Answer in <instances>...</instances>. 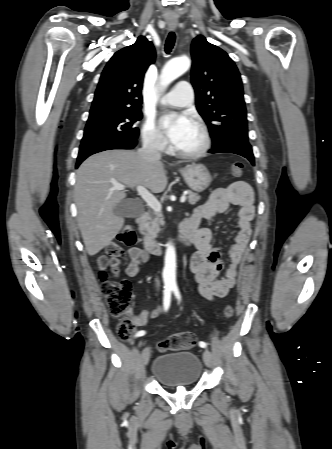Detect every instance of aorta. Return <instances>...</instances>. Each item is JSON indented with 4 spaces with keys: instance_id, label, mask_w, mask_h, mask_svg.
Segmentation results:
<instances>
[{
    "instance_id": "1",
    "label": "aorta",
    "mask_w": 332,
    "mask_h": 449,
    "mask_svg": "<svg viewBox=\"0 0 332 449\" xmlns=\"http://www.w3.org/2000/svg\"><path fill=\"white\" fill-rule=\"evenodd\" d=\"M190 65V59L186 56L170 60L161 71L159 79L160 89H165L172 81L185 73ZM163 280L167 285H176V252L172 243L167 244L165 251Z\"/></svg>"
}]
</instances>
